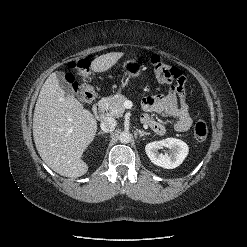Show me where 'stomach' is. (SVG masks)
Here are the masks:
<instances>
[{"label":"stomach","mask_w":247,"mask_h":247,"mask_svg":"<svg viewBox=\"0 0 247 247\" xmlns=\"http://www.w3.org/2000/svg\"><path fill=\"white\" fill-rule=\"evenodd\" d=\"M122 71L124 73V77L129 78H139L144 70V66L141 65L137 60L135 59H128L124 62L122 66Z\"/></svg>","instance_id":"obj_1"}]
</instances>
